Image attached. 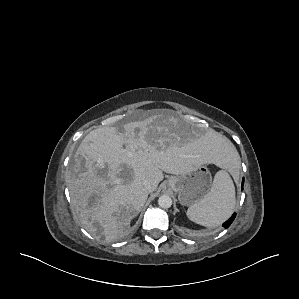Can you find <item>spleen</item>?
Returning a JSON list of instances; mask_svg holds the SVG:
<instances>
[{
	"label": "spleen",
	"mask_w": 299,
	"mask_h": 299,
	"mask_svg": "<svg viewBox=\"0 0 299 299\" xmlns=\"http://www.w3.org/2000/svg\"><path fill=\"white\" fill-rule=\"evenodd\" d=\"M235 203L233 181L226 170H220L214 177L210 192L198 203L190 206L186 215L199 225L216 227L231 216Z\"/></svg>",
	"instance_id": "spleen-1"
}]
</instances>
